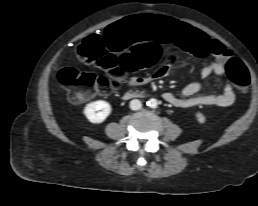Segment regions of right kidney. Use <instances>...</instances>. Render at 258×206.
<instances>
[{"mask_svg":"<svg viewBox=\"0 0 258 206\" xmlns=\"http://www.w3.org/2000/svg\"><path fill=\"white\" fill-rule=\"evenodd\" d=\"M111 112V105L103 100L91 102L87 104L83 110V114L86 116V118L91 123L95 124L104 122L107 119V117L111 114Z\"/></svg>","mask_w":258,"mask_h":206,"instance_id":"obj_1","label":"right kidney"}]
</instances>
